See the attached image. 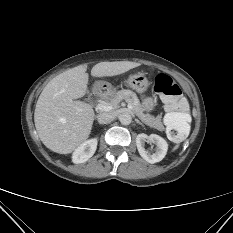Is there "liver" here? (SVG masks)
<instances>
[{
  "label": "liver",
  "instance_id": "obj_1",
  "mask_svg": "<svg viewBox=\"0 0 233 233\" xmlns=\"http://www.w3.org/2000/svg\"><path fill=\"white\" fill-rule=\"evenodd\" d=\"M140 66L130 61L100 62L93 66V77L116 76ZM87 65H79L54 77L36 103L34 122L42 143L59 154H69L90 135L95 113L77 100L88 89Z\"/></svg>",
  "mask_w": 233,
  "mask_h": 233
}]
</instances>
